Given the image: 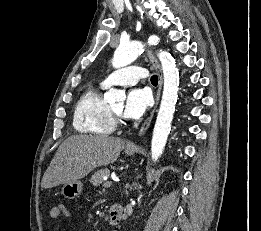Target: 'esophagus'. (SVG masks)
I'll return each mask as SVG.
<instances>
[{
    "instance_id": "obj_1",
    "label": "esophagus",
    "mask_w": 261,
    "mask_h": 231,
    "mask_svg": "<svg viewBox=\"0 0 261 231\" xmlns=\"http://www.w3.org/2000/svg\"><path fill=\"white\" fill-rule=\"evenodd\" d=\"M148 57L151 60L153 67H155V69L158 72L159 84H158V89H157V93H156V97H155V107L152 110L149 117L143 123L141 129L139 130V134H138L139 137H142L146 133V131L148 130V128L150 126V123H151L153 115H154L155 108H156V106L158 105V102H159L160 93H161V89H162V73H161L160 64L158 63L157 59L154 57L151 50H148ZM127 147L128 148H136V145L131 142V143H128Z\"/></svg>"
}]
</instances>
